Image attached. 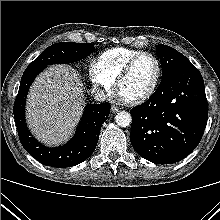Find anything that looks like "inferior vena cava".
Instances as JSON below:
<instances>
[{
  "label": "inferior vena cava",
  "instance_id": "obj_1",
  "mask_svg": "<svg viewBox=\"0 0 220 220\" xmlns=\"http://www.w3.org/2000/svg\"><path fill=\"white\" fill-rule=\"evenodd\" d=\"M91 93L96 101L103 102L106 100L107 96L104 90L93 88Z\"/></svg>",
  "mask_w": 220,
  "mask_h": 220
}]
</instances>
